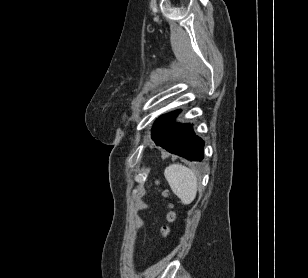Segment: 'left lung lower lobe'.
I'll list each match as a JSON object with an SVG mask.
<instances>
[{
  "mask_svg": "<svg viewBox=\"0 0 308 278\" xmlns=\"http://www.w3.org/2000/svg\"><path fill=\"white\" fill-rule=\"evenodd\" d=\"M178 113L175 111L159 117L152 128V139L170 153L201 161L204 142L194 134L190 124L173 123Z\"/></svg>",
  "mask_w": 308,
  "mask_h": 278,
  "instance_id": "obj_1",
  "label": "left lung lower lobe"
}]
</instances>
